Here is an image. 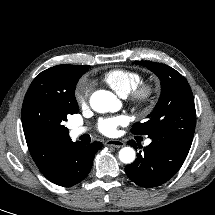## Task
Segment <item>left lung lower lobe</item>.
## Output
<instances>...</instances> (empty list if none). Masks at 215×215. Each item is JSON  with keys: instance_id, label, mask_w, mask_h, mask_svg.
Instances as JSON below:
<instances>
[{"instance_id": "obj_1", "label": "left lung lower lobe", "mask_w": 215, "mask_h": 215, "mask_svg": "<svg viewBox=\"0 0 215 215\" xmlns=\"http://www.w3.org/2000/svg\"><path fill=\"white\" fill-rule=\"evenodd\" d=\"M151 139V144L137 153V159L125 167L127 176L145 188L159 186L173 177L189 152V149L182 148L165 138ZM128 143L137 149V144L133 140Z\"/></svg>"}]
</instances>
